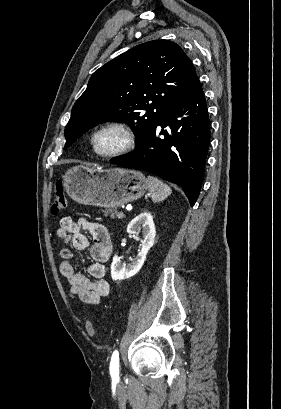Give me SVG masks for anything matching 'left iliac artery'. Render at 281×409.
Returning a JSON list of instances; mask_svg holds the SVG:
<instances>
[{
  "instance_id": "left-iliac-artery-1",
  "label": "left iliac artery",
  "mask_w": 281,
  "mask_h": 409,
  "mask_svg": "<svg viewBox=\"0 0 281 409\" xmlns=\"http://www.w3.org/2000/svg\"><path fill=\"white\" fill-rule=\"evenodd\" d=\"M110 374L114 379L119 378V354L117 350L113 352L111 357Z\"/></svg>"
}]
</instances>
